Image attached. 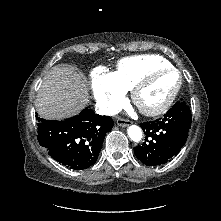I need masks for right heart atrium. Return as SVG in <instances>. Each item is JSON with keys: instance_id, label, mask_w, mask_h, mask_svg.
Segmentation results:
<instances>
[{"instance_id": "d8ad5b80", "label": "right heart atrium", "mask_w": 221, "mask_h": 221, "mask_svg": "<svg viewBox=\"0 0 221 221\" xmlns=\"http://www.w3.org/2000/svg\"><path fill=\"white\" fill-rule=\"evenodd\" d=\"M91 86L96 102L104 113L113 114L123 105L126 90L112 72L96 69L91 76Z\"/></svg>"}]
</instances>
